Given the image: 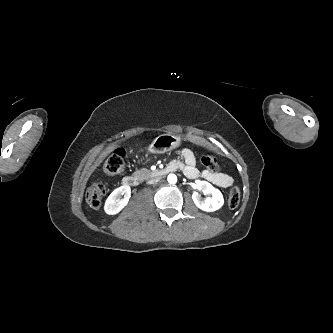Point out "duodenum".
Instances as JSON below:
<instances>
[{
	"instance_id": "410a0bca",
	"label": "duodenum",
	"mask_w": 333,
	"mask_h": 333,
	"mask_svg": "<svg viewBox=\"0 0 333 333\" xmlns=\"http://www.w3.org/2000/svg\"><path fill=\"white\" fill-rule=\"evenodd\" d=\"M175 170H177L176 165L170 163L166 167L156 170L154 172V175L157 176V177H162V176H165V175H167V174H169V173H171ZM122 183L125 186L136 187L140 184V179L136 175H128V176H125L122 179Z\"/></svg>"
}]
</instances>
